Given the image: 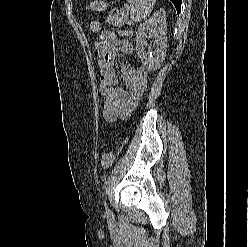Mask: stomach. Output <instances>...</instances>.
Returning a JSON list of instances; mask_svg holds the SVG:
<instances>
[{"label": "stomach", "mask_w": 248, "mask_h": 247, "mask_svg": "<svg viewBox=\"0 0 248 247\" xmlns=\"http://www.w3.org/2000/svg\"><path fill=\"white\" fill-rule=\"evenodd\" d=\"M107 8V4L103 0H95L91 2L90 5L87 6V9H91L93 11H103Z\"/></svg>", "instance_id": "stomach-1"}]
</instances>
